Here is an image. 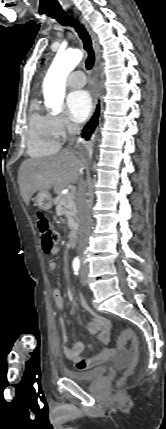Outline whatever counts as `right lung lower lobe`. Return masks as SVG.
<instances>
[{"mask_svg": "<svg viewBox=\"0 0 166 429\" xmlns=\"http://www.w3.org/2000/svg\"><path fill=\"white\" fill-rule=\"evenodd\" d=\"M98 118H99V105L96 109L95 114L91 118V120L86 124V126L83 128L81 136L85 138L86 140H89L91 136L93 135L97 125H98Z\"/></svg>", "mask_w": 166, "mask_h": 429, "instance_id": "98d812e1", "label": "right lung lower lobe"}]
</instances>
